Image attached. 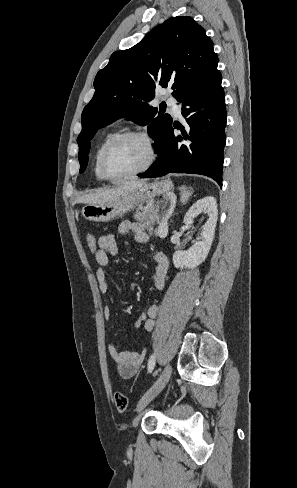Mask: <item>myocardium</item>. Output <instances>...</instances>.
<instances>
[{"instance_id": "myocardium-1", "label": "myocardium", "mask_w": 297, "mask_h": 488, "mask_svg": "<svg viewBox=\"0 0 297 488\" xmlns=\"http://www.w3.org/2000/svg\"><path fill=\"white\" fill-rule=\"evenodd\" d=\"M130 138H139L142 139L147 147H148V158L145 161V163L139 167L138 169L131 171L129 173L119 175V176H113L110 175L106 169V159L110 151L119 143H121L124 140L130 139ZM157 158V148L154 140L145 132L143 131H137V130H131V131H125L117 136H115L102 150L100 159H99V168L102 176L104 179L109 180V181H119V180H124L128 179L131 177H134L136 175H139L145 171H147L155 162Z\"/></svg>"}]
</instances>
